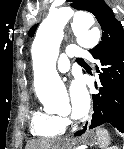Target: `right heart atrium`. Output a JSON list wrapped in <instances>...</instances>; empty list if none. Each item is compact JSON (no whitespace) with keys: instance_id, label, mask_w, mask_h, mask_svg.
Masks as SVG:
<instances>
[{"instance_id":"d8ad5b80","label":"right heart atrium","mask_w":124,"mask_h":149,"mask_svg":"<svg viewBox=\"0 0 124 149\" xmlns=\"http://www.w3.org/2000/svg\"><path fill=\"white\" fill-rule=\"evenodd\" d=\"M63 121L66 123L67 122V120L66 119H63Z\"/></svg>"}]
</instances>
